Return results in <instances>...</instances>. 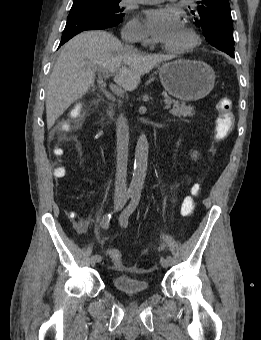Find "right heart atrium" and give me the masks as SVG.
I'll return each instance as SVG.
<instances>
[{
  "instance_id": "right-heart-atrium-1",
  "label": "right heart atrium",
  "mask_w": 261,
  "mask_h": 340,
  "mask_svg": "<svg viewBox=\"0 0 261 340\" xmlns=\"http://www.w3.org/2000/svg\"><path fill=\"white\" fill-rule=\"evenodd\" d=\"M123 36L137 39L141 43H148V36L144 26L138 18L131 19L123 29Z\"/></svg>"
}]
</instances>
